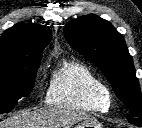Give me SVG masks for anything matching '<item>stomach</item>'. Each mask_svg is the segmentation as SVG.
I'll list each match as a JSON object with an SVG mask.
<instances>
[{
  "label": "stomach",
  "mask_w": 142,
  "mask_h": 128,
  "mask_svg": "<svg viewBox=\"0 0 142 128\" xmlns=\"http://www.w3.org/2000/svg\"><path fill=\"white\" fill-rule=\"evenodd\" d=\"M102 128V124L94 118H88L78 123L74 128Z\"/></svg>",
  "instance_id": "1"
}]
</instances>
